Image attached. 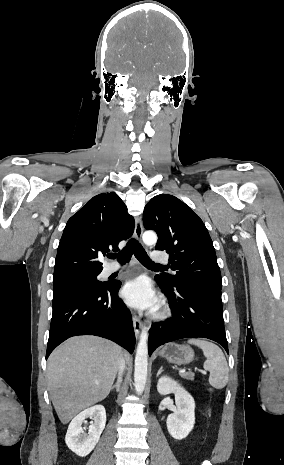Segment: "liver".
I'll list each match as a JSON object with an SVG mask.
<instances>
[{"mask_svg": "<svg viewBox=\"0 0 284 465\" xmlns=\"http://www.w3.org/2000/svg\"><path fill=\"white\" fill-rule=\"evenodd\" d=\"M121 349L99 337H73L48 359V389L63 425L106 399L120 365ZM130 359L128 353H124Z\"/></svg>", "mask_w": 284, "mask_h": 465, "instance_id": "6515ba94", "label": "liver"}]
</instances>
